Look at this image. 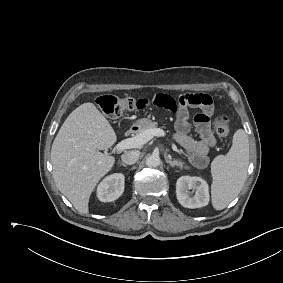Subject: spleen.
Returning <instances> with one entry per match:
<instances>
[{
    "mask_svg": "<svg viewBox=\"0 0 283 283\" xmlns=\"http://www.w3.org/2000/svg\"><path fill=\"white\" fill-rule=\"evenodd\" d=\"M249 165V141L243 129L233 136L226 155H218L211 164L213 182L211 200L214 209L222 210L240 193Z\"/></svg>",
    "mask_w": 283,
    "mask_h": 283,
    "instance_id": "1",
    "label": "spleen"
}]
</instances>
